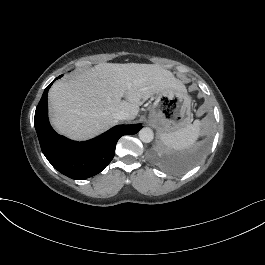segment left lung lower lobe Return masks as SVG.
<instances>
[{
    "mask_svg": "<svg viewBox=\"0 0 265 265\" xmlns=\"http://www.w3.org/2000/svg\"><path fill=\"white\" fill-rule=\"evenodd\" d=\"M206 151V144L200 142L196 146L183 152H153L152 161L164 171L181 174L195 166L203 157Z\"/></svg>",
    "mask_w": 265,
    "mask_h": 265,
    "instance_id": "0a47b994",
    "label": "left lung lower lobe"
}]
</instances>
